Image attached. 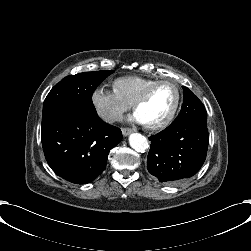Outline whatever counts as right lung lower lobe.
I'll use <instances>...</instances> for the list:
<instances>
[{"instance_id": "obj_1", "label": "right lung lower lobe", "mask_w": 251, "mask_h": 251, "mask_svg": "<svg viewBox=\"0 0 251 251\" xmlns=\"http://www.w3.org/2000/svg\"><path fill=\"white\" fill-rule=\"evenodd\" d=\"M45 158L56 175L74 184L96 179L109 151L122 140L121 130L97 114L66 107L42 122Z\"/></svg>"}]
</instances>
